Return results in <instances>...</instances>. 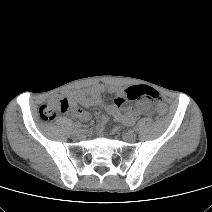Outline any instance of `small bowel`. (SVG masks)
Returning <instances> with one entry per match:
<instances>
[{"instance_id": "obj_1", "label": "small bowel", "mask_w": 212, "mask_h": 212, "mask_svg": "<svg viewBox=\"0 0 212 212\" xmlns=\"http://www.w3.org/2000/svg\"><path fill=\"white\" fill-rule=\"evenodd\" d=\"M105 92L115 95L113 103L106 106V111L122 124L131 125L140 116L151 113V106L146 101H139L135 107H125L126 91L116 86H106L100 83L92 85L83 91L69 94L68 98L72 115L84 122H88L91 118L89 112L78 108L77 105L84 107L101 106L103 104L102 94ZM106 121L105 117L101 118L99 129H103Z\"/></svg>"}]
</instances>
